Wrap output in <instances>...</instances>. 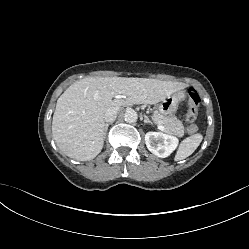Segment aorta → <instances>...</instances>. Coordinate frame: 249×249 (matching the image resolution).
I'll list each match as a JSON object with an SVG mask.
<instances>
[{
	"label": "aorta",
	"instance_id": "762f6f07",
	"mask_svg": "<svg viewBox=\"0 0 249 249\" xmlns=\"http://www.w3.org/2000/svg\"><path fill=\"white\" fill-rule=\"evenodd\" d=\"M137 112L133 109H128L126 110L125 114H124V119L126 122L128 123H133L137 121Z\"/></svg>",
	"mask_w": 249,
	"mask_h": 249
}]
</instances>
